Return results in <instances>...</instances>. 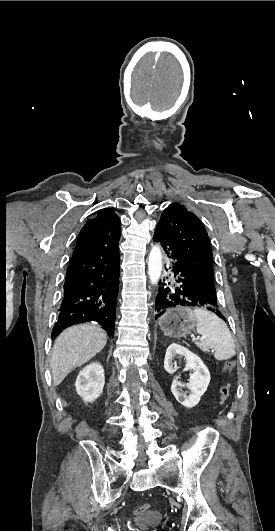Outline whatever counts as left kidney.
Returning <instances> with one entry per match:
<instances>
[{
  "instance_id": "1",
  "label": "left kidney",
  "mask_w": 275,
  "mask_h": 531,
  "mask_svg": "<svg viewBox=\"0 0 275 531\" xmlns=\"http://www.w3.org/2000/svg\"><path fill=\"white\" fill-rule=\"evenodd\" d=\"M174 355H182V357H185L187 363L183 371L193 369L194 373L191 375L189 383H181L178 379H173L171 391L178 403H181V405H184L187 409H192V407L198 405L202 395H204L210 383V373L200 357H197V355H194V353H191V351H188L185 347L177 345V343L169 345L166 351L164 369L167 373H176V369H174L172 363ZM180 387H187V389H190V395L187 397L186 393H180Z\"/></svg>"
}]
</instances>
